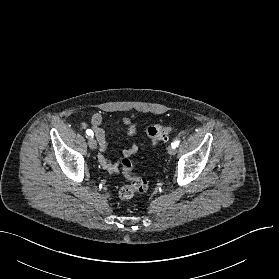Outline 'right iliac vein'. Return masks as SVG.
<instances>
[{"instance_id":"63e3f726","label":"right iliac vein","mask_w":279,"mask_h":279,"mask_svg":"<svg viewBox=\"0 0 279 279\" xmlns=\"http://www.w3.org/2000/svg\"><path fill=\"white\" fill-rule=\"evenodd\" d=\"M88 145L93 150L97 148V142H96V140L93 137L89 138Z\"/></svg>"}]
</instances>
